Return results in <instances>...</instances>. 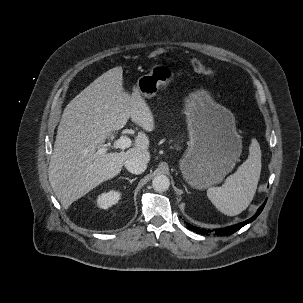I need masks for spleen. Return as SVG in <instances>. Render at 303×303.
Returning <instances> with one entry per match:
<instances>
[{
    "mask_svg": "<svg viewBox=\"0 0 303 303\" xmlns=\"http://www.w3.org/2000/svg\"><path fill=\"white\" fill-rule=\"evenodd\" d=\"M261 172V149L253 138L249 147V155L237 171L227 177L221 187H211L207 196L213 205L228 216L243 212L253 200Z\"/></svg>",
    "mask_w": 303,
    "mask_h": 303,
    "instance_id": "1",
    "label": "spleen"
}]
</instances>
